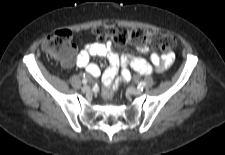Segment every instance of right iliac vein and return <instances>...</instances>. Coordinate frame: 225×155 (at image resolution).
<instances>
[{
  "label": "right iliac vein",
  "mask_w": 225,
  "mask_h": 155,
  "mask_svg": "<svg viewBox=\"0 0 225 155\" xmlns=\"http://www.w3.org/2000/svg\"><path fill=\"white\" fill-rule=\"evenodd\" d=\"M89 91H90V87L89 86L85 85V86L82 87V92L83 93H88Z\"/></svg>",
  "instance_id": "1"
}]
</instances>
